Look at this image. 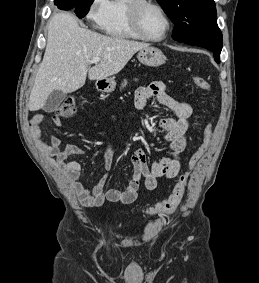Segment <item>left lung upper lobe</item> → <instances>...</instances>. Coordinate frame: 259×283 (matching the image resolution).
<instances>
[{
	"label": "left lung upper lobe",
	"instance_id": "left-lung-upper-lobe-1",
	"mask_svg": "<svg viewBox=\"0 0 259 283\" xmlns=\"http://www.w3.org/2000/svg\"><path fill=\"white\" fill-rule=\"evenodd\" d=\"M175 23L174 40L186 42L220 32L213 0H157Z\"/></svg>",
	"mask_w": 259,
	"mask_h": 283
}]
</instances>
